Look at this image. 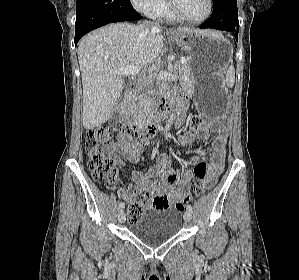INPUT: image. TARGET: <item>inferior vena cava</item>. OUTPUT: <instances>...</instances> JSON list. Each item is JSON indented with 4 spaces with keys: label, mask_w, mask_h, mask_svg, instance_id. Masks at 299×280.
Returning <instances> with one entry per match:
<instances>
[{
    "label": "inferior vena cava",
    "mask_w": 299,
    "mask_h": 280,
    "mask_svg": "<svg viewBox=\"0 0 299 280\" xmlns=\"http://www.w3.org/2000/svg\"><path fill=\"white\" fill-rule=\"evenodd\" d=\"M145 24H146L147 27H149V28H155V27H156V25H153V23H151V22H145Z\"/></svg>",
    "instance_id": "inferior-vena-cava-1"
}]
</instances>
